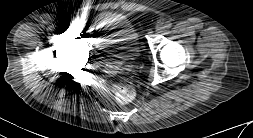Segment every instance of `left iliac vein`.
I'll list each match as a JSON object with an SVG mask.
<instances>
[{
	"mask_svg": "<svg viewBox=\"0 0 253 138\" xmlns=\"http://www.w3.org/2000/svg\"><path fill=\"white\" fill-rule=\"evenodd\" d=\"M163 29V27H158L157 31L160 32Z\"/></svg>",
	"mask_w": 253,
	"mask_h": 138,
	"instance_id": "left-iliac-vein-1",
	"label": "left iliac vein"
}]
</instances>
